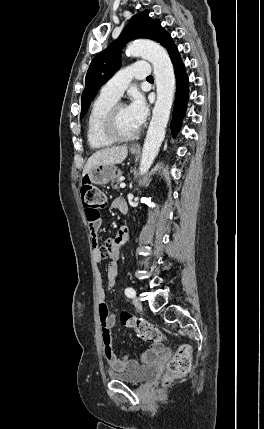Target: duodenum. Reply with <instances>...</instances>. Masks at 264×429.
Instances as JSON below:
<instances>
[{
	"instance_id": "410a0bca",
	"label": "duodenum",
	"mask_w": 264,
	"mask_h": 429,
	"mask_svg": "<svg viewBox=\"0 0 264 429\" xmlns=\"http://www.w3.org/2000/svg\"><path fill=\"white\" fill-rule=\"evenodd\" d=\"M119 211L122 214H126L128 212V206H127L126 202H123L119 205Z\"/></svg>"
}]
</instances>
